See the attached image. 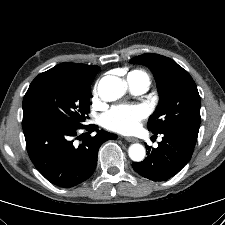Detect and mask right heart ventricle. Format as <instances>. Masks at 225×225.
<instances>
[{"mask_svg": "<svg viewBox=\"0 0 225 225\" xmlns=\"http://www.w3.org/2000/svg\"><path fill=\"white\" fill-rule=\"evenodd\" d=\"M130 75H136V76H139V77L145 78V79H147V80L149 81V77H148V75H147L145 72L140 71V70H135V71H133V72L129 73V75H128V76H130Z\"/></svg>", "mask_w": 225, "mask_h": 225, "instance_id": "obj_1", "label": "right heart ventricle"}]
</instances>
